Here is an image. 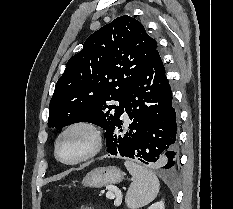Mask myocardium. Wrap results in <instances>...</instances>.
Returning a JSON list of instances; mask_svg holds the SVG:
<instances>
[{"mask_svg": "<svg viewBox=\"0 0 233 209\" xmlns=\"http://www.w3.org/2000/svg\"><path fill=\"white\" fill-rule=\"evenodd\" d=\"M77 129L85 130L90 134L91 140H92L91 146L84 154H82L78 158L74 160H70V161L64 160L60 158L59 156V144L62 138L67 133L73 130H77ZM102 146H103V134L99 126L89 120H77V121L69 123L58 134L56 141H55V146H54V155L56 159L63 164L77 165L96 156L100 152Z\"/></svg>", "mask_w": 233, "mask_h": 209, "instance_id": "1", "label": "myocardium"}]
</instances>
